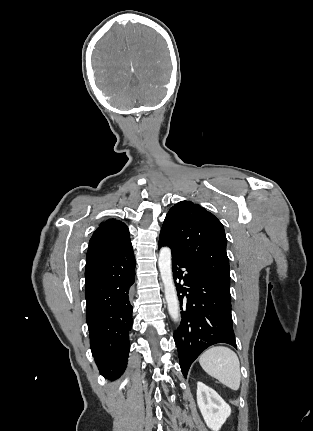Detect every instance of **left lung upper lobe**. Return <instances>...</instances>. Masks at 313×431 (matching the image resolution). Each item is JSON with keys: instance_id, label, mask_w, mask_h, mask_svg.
Here are the masks:
<instances>
[{"instance_id": "obj_1", "label": "left lung upper lobe", "mask_w": 313, "mask_h": 431, "mask_svg": "<svg viewBox=\"0 0 313 431\" xmlns=\"http://www.w3.org/2000/svg\"><path fill=\"white\" fill-rule=\"evenodd\" d=\"M160 243L192 268L230 285L227 239L221 222L191 201H180L167 213Z\"/></svg>"}]
</instances>
